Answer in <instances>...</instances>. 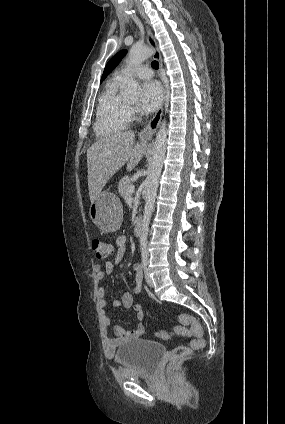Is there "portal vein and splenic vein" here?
I'll list each match as a JSON object with an SVG mask.
<instances>
[{
	"label": "portal vein and splenic vein",
	"mask_w": 285,
	"mask_h": 424,
	"mask_svg": "<svg viewBox=\"0 0 285 424\" xmlns=\"http://www.w3.org/2000/svg\"><path fill=\"white\" fill-rule=\"evenodd\" d=\"M134 190H135V187H134L133 185H131V186L129 187V192H130V193H133V192H134Z\"/></svg>",
	"instance_id": "1"
}]
</instances>
